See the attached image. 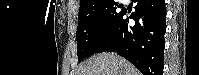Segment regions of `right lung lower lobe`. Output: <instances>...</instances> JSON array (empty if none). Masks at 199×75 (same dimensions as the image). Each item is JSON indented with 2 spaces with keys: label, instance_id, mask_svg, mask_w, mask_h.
Wrapping results in <instances>:
<instances>
[{
  "label": "right lung lower lobe",
  "instance_id": "right-lung-lower-lobe-1",
  "mask_svg": "<svg viewBox=\"0 0 199 75\" xmlns=\"http://www.w3.org/2000/svg\"><path fill=\"white\" fill-rule=\"evenodd\" d=\"M135 12L130 16L134 26L121 18L98 52L115 51L130 61L143 75H162L164 67V34L166 7L164 0H132Z\"/></svg>",
  "mask_w": 199,
  "mask_h": 75
}]
</instances>
